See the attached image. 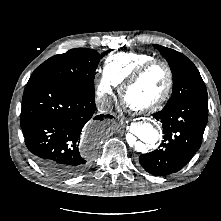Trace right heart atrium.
<instances>
[{
	"instance_id": "right-heart-atrium-1",
	"label": "right heart atrium",
	"mask_w": 221,
	"mask_h": 221,
	"mask_svg": "<svg viewBox=\"0 0 221 221\" xmlns=\"http://www.w3.org/2000/svg\"><path fill=\"white\" fill-rule=\"evenodd\" d=\"M115 84L103 73L97 80L96 95L104 104L108 105L113 96Z\"/></svg>"
}]
</instances>
